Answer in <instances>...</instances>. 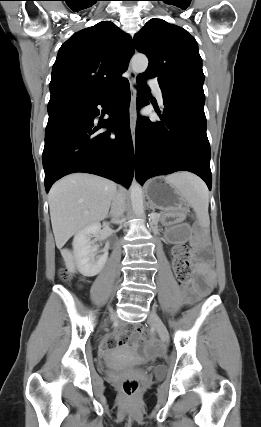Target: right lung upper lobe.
Returning a JSON list of instances; mask_svg holds the SVG:
<instances>
[{"mask_svg":"<svg viewBox=\"0 0 261 427\" xmlns=\"http://www.w3.org/2000/svg\"><path fill=\"white\" fill-rule=\"evenodd\" d=\"M134 50L130 36L110 21L73 34L52 68L48 111L91 103L114 91L126 79L121 75Z\"/></svg>","mask_w":261,"mask_h":427,"instance_id":"cb5924a9","label":"right lung upper lobe"}]
</instances>
